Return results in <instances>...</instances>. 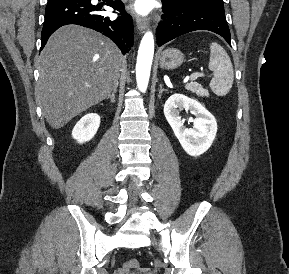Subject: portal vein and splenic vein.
<instances>
[{"instance_id":"18ae733b","label":"portal vein and splenic vein","mask_w":289,"mask_h":274,"mask_svg":"<svg viewBox=\"0 0 289 274\" xmlns=\"http://www.w3.org/2000/svg\"><path fill=\"white\" fill-rule=\"evenodd\" d=\"M198 77H205V74L204 73H195V74L190 75L189 79L191 81H195Z\"/></svg>"}]
</instances>
